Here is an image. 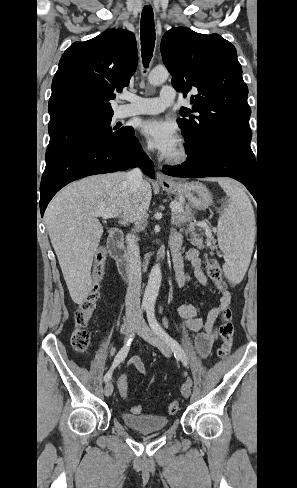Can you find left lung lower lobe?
<instances>
[{
  "label": "left lung lower lobe",
  "instance_id": "0a47b994",
  "mask_svg": "<svg viewBox=\"0 0 297 488\" xmlns=\"http://www.w3.org/2000/svg\"><path fill=\"white\" fill-rule=\"evenodd\" d=\"M163 172L175 177H218L236 179L246 186L258 202V186L255 157H249L235 151L210 148L196 156L188 158L181 165L164 168Z\"/></svg>",
  "mask_w": 297,
  "mask_h": 488
}]
</instances>
